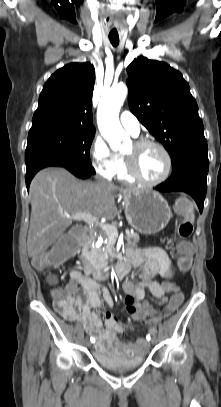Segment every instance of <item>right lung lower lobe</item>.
<instances>
[{
  "label": "right lung lower lobe",
  "mask_w": 221,
  "mask_h": 407,
  "mask_svg": "<svg viewBox=\"0 0 221 407\" xmlns=\"http://www.w3.org/2000/svg\"><path fill=\"white\" fill-rule=\"evenodd\" d=\"M49 166H58V167H64L67 170H69L71 173H73L75 176L85 179L90 177L93 173L91 172H86L83 171L81 169H78L74 166H70L68 163H66L65 161L58 159V158H54V157H44V158H40L34 162H32L30 165L26 166V186L27 189L29 191V186H30V182L32 180V178L34 177V175L40 170L43 169L45 167H49Z\"/></svg>",
  "instance_id": "98d812e1"
}]
</instances>
